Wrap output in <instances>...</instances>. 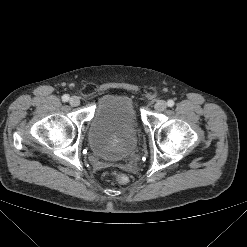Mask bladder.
Returning a JSON list of instances; mask_svg holds the SVG:
<instances>
[{
    "instance_id": "31cf9c89",
    "label": "bladder",
    "mask_w": 247,
    "mask_h": 247,
    "mask_svg": "<svg viewBox=\"0 0 247 247\" xmlns=\"http://www.w3.org/2000/svg\"><path fill=\"white\" fill-rule=\"evenodd\" d=\"M139 131L134 100L125 94H105L98 100L89 126V147L101 158L123 162L134 153ZM112 135L120 137L122 142Z\"/></svg>"
}]
</instances>
